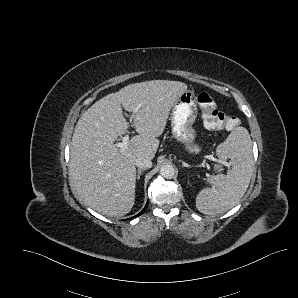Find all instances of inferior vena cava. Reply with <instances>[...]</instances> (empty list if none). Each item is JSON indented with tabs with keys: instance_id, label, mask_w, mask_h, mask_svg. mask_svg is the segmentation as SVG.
I'll return each instance as SVG.
<instances>
[{
	"instance_id": "obj_1",
	"label": "inferior vena cava",
	"mask_w": 298,
	"mask_h": 298,
	"mask_svg": "<svg viewBox=\"0 0 298 298\" xmlns=\"http://www.w3.org/2000/svg\"><path fill=\"white\" fill-rule=\"evenodd\" d=\"M135 165L138 168H145V169H149L152 167L153 163L151 159L145 158V157H138L135 160Z\"/></svg>"
}]
</instances>
